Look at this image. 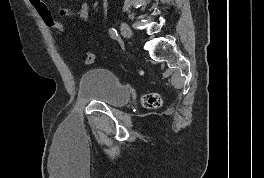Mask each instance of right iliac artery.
<instances>
[{"label":"right iliac artery","instance_id":"1","mask_svg":"<svg viewBox=\"0 0 264 178\" xmlns=\"http://www.w3.org/2000/svg\"><path fill=\"white\" fill-rule=\"evenodd\" d=\"M109 35H110V37H111L112 39H114V40H118V39H119L118 32H117V30L114 29V28H110V29H109Z\"/></svg>","mask_w":264,"mask_h":178}]
</instances>
